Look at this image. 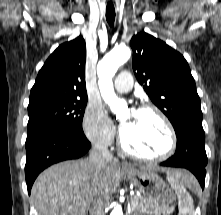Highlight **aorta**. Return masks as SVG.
I'll return each instance as SVG.
<instances>
[{
  "label": "aorta",
  "instance_id": "aorta-1",
  "mask_svg": "<svg viewBox=\"0 0 221 215\" xmlns=\"http://www.w3.org/2000/svg\"><path fill=\"white\" fill-rule=\"evenodd\" d=\"M130 56V48L125 45H119L107 53L97 65L98 85L101 96L113 111L126 106L125 101L116 96L112 78L118 68L129 60ZM110 215H123L121 205L115 203Z\"/></svg>",
  "mask_w": 221,
  "mask_h": 215
}]
</instances>
